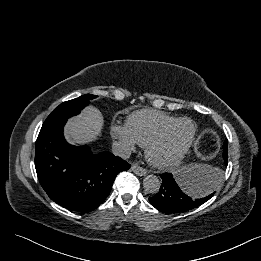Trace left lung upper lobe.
I'll use <instances>...</instances> for the list:
<instances>
[{"mask_svg":"<svg viewBox=\"0 0 261 261\" xmlns=\"http://www.w3.org/2000/svg\"><path fill=\"white\" fill-rule=\"evenodd\" d=\"M223 151H227L228 150V141L226 140L223 144Z\"/></svg>","mask_w":261,"mask_h":261,"instance_id":"5c2ea615","label":"left lung upper lobe"}]
</instances>
